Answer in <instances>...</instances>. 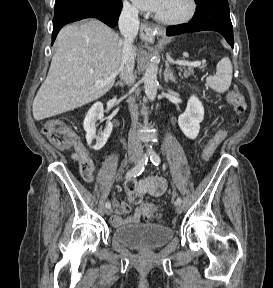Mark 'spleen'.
<instances>
[{
    "mask_svg": "<svg viewBox=\"0 0 273 288\" xmlns=\"http://www.w3.org/2000/svg\"><path fill=\"white\" fill-rule=\"evenodd\" d=\"M232 64L228 57L222 58L216 66V74L206 79L207 85L218 93H224L231 85Z\"/></svg>",
    "mask_w": 273,
    "mask_h": 288,
    "instance_id": "1",
    "label": "spleen"
}]
</instances>
